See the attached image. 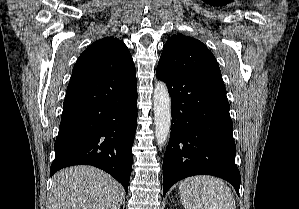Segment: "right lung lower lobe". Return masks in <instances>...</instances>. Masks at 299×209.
Masks as SVG:
<instances>
[{"instance_id":"right-lung-lower-lobe-1","label":"right lung lower lobe","mask_w":299,"mask_h":209,"mask_svg":"<svg viewBox=\"0 0 299 209\" xmlns=\"http://www.w3.org/2000/svg\"><path fill=\"white\" fill-rule=\"evenodd\" d=\"M137 124L136 76L116 73L71 77L63 103L51 176L72 165L98 167L126 192Z\"/></svg>"}]
</instances>
